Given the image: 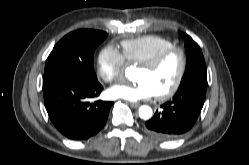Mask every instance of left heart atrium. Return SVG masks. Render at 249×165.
<instances>
[{
  "instance_id": "left-heart-atrium-1",
  "label": "left heart atrium",
  "mask_w": 249,
  "mask_h": 165,
  "mask_svg": "<svg viewBox=\"0 0 249 165\" xmlns=\"http://www.w3.org/2000/svg\"><path fill=\"white\" fill-rule=\"evenodd\" d=\"M108 95L111 98L135 102L153 97L155 95V91L146 81L138 80L133 84H115L109 88Z\"/></svg>"
}]
</instances>
